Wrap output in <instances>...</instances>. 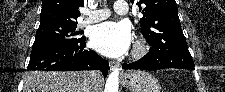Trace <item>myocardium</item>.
Returning <instances> with one entry per match:
<instances>
[{"mask_svg":"<svg viewBox=\"0 0 225 92\" xmlns=\"http://www.w3.org/2000/svg\"><path fill=\"white\" fill-rule=\"evenodd\" d=\"M147 51V46L145 45V43L141 40L137 41L134 49H133V53L132 56L133 58H141Z\"/></svg>","mask_w":225,"mask_h":92,"instance_id":"f54148a6","label":"myocardium"}]
</instances>
